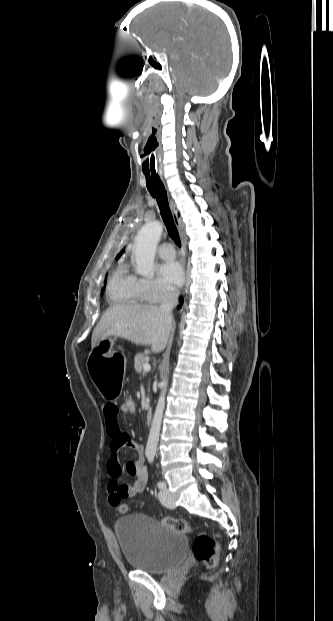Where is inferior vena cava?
Here are the masks:
<instances>
[{"label":"inferior vena cava","mask_w":333,"mask_h":621,"mask_svg":"<svg viewBox=\"0 0 333 621\" xmlns=\"http://www.w3.org/2000/svg\"><path fill=\"white\" fill-rule=\"evenodd\" d=\"M179 292L177 289H170L165 293L163 302L159 307L162 312L166 314L170 321H172V310L178 304Z\"/></svg>","instance_id":"inferior-vena-cava-1"}]
</instances>
